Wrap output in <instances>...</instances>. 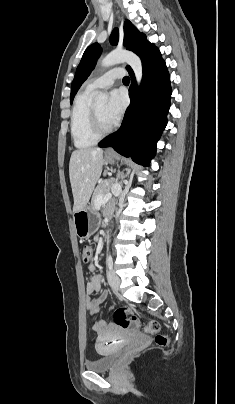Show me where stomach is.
I'll use <instances>...</instances> for the list:
<instances>
[{
    "mask_svg": "<svg viewBox=\"0 0 235 404\" xmlns=\"http://www.w3.org/2000/svg\"><path fill=\"white\" fill-rule=\"evenodd\" d=\"M106 162L114 164L115 158L107 156ZM73 220L76 235L81 239L90 237L96 231L100 223L99 215L92 206H86L85 208L74 212Z\"/></svg>",
    "mask_w": 235,
    "mask_h": 404,
    "instance_id": "stomach-1",
    "label": "stomach"
}]
</instances>
